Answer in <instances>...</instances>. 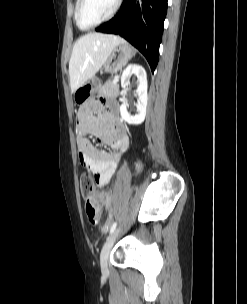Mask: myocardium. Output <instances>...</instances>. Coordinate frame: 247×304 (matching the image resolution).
<instances>
[{
  "mask_svg": "<svg viewBox=\"0 0 247 304\" xmlns=\"http://www.w3.org/2000/svg\"><path fill=\"white\" fill-rule=\"evenodd\" d=\"M122 2H123V0H117L116 5H115L114 9L112 10V12L107 17H105L103 20H101L98 23L91 25V26H84L82 24V20H81V11H82V7L85 3V0H78V5H77V9H76V23H77L78 27L81 30H89V29L96 28L105 22H108L118 13V11L122 5Z\"/></svg>",
  "mask_w": 247,
  "mask_h": 304,
  "instance_id": "1",
  "label": "myocardium"
}]
</instances>
